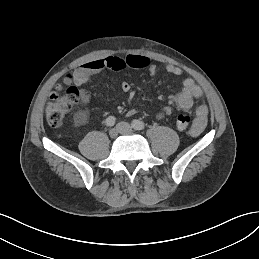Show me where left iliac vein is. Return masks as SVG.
<instances>
[{
    "label": "left iliac vein",
    "mask_w": 259,
    "mask_h": 259,
    "mask_svg": "<svg viewBox=\"0 0 259 259\" xmlns=\"http://www.w3.org/2000/svg\"><path fill=\"white\" fill-rule=\"evenodd\" d=\"M116 128L121 134H130L133 131L132 126L126 122L118 123Z\"/></svg>",
    "instance_id": "left-iliac-vein-1"
}]
</instances>
